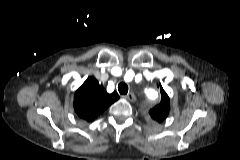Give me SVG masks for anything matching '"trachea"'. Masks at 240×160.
Here are the masks:
<instances>
[{
	"mask_svg": "<svg viewBox=\"0 0 240 160\" xmlns=\"http://www.w3.org/2000/svg\"><path fill=\"white\" fill-rule=\"evenodd\" d=\"M118 91L121 95H125L128 93V86L125 83H120L118 85Z\"/></svg>",
	"mask_w": 240,
	"mask_h": 160,
	"instance_id": "trachea-1",
	"label": "trachea"
}]
</instances>
